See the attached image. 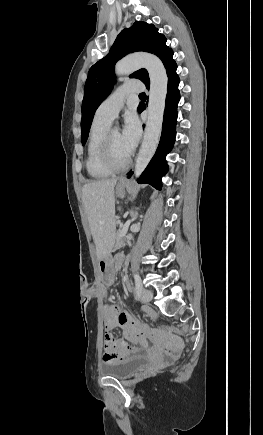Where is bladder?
Wrapping results in <instances>:
<instances>
[{"label": "bladder", "instance_id": "31cf9c89", "mask_svg": "<svg viewBox=\"0 0 263 435\" xmlns=\"http://www.w3.org/2000/svg\"><path fill=\"white\" fill-rule=\"evenodd\" d=\"M147 364V358L143 356H131L121 361L103 364L100 368V373L106 377L125 380L143 369Z\"/></svg>", "mask_w": 263, "mask_h": 435}]
</instances>
